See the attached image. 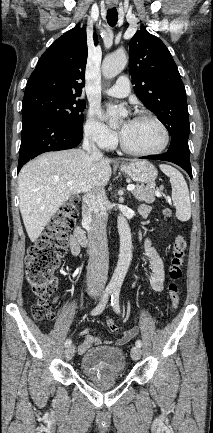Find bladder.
<instances>
[{"label":"bladder","instance_id":"bladder-1","mask_svg":"<svg viewBox=\"0 0 213 433\" xmlns=\"http://www.w3.org/2000/svg\"><path fill=\"white\" fill-rule=\"evenodd\" d=\"M126 359L121 348L99 346L88 350L80 360V371L91 379L117 377L124 373Z\"/></svg>","mask_w":213,"mask_h":433}]
</instances>
